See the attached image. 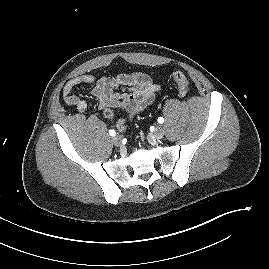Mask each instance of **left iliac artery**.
Returning a JSON list of instances; mask_svg holds the SVG:
<instances>
[{"label":"left iliac artery","instance_id":"44dca946","mask_svg":"<svg viewBox=\"0 0 269 269\" xmlns=\"http://www.w3.org/2000/svg\"><path fill=\"white\" fill-rule=\"evenodd\" d=\"M158 122H159L160 124H162V123L164 122V118H163V117H159V118H158Z\"/></svg>","mask_w":269,"mask_h":269}]
</instances>
